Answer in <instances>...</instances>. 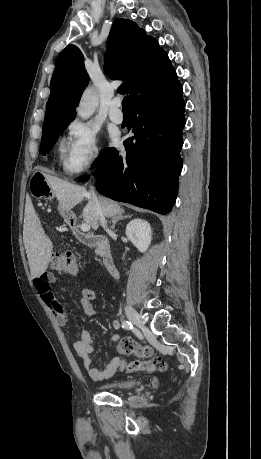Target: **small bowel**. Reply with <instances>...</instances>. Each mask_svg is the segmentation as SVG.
Returning <instances> with one entry per match:
<instances>
[{
	"label": "small bowel",
	"instance_id": "obj_1",
	"mask_svg": "<svg viewBox=\"0 0 261 459\" xmlns=\"http://www.w3.org/2000/svg\"><path fill=\"white\" fill-rule=\"evenodd\" d=\"M54 282H56V277L50 272L43 273L33 280L36 291L46 306L49 308L56 321L59 323V325L65 326L70 319V315L63 309L56 295L51 289V284ZM89 293L93 292L88 288L81 289V305L84 312L91 316L94 315L95 310L91 303L92 301H89L86 297ZM120 326L121 323L118 320L112 321V327L115 330H118ZM110 339L111 341L116 342L120 339V335L118 333H113ZM73 349L79 356L84 368L87 371L88 376L96 382H100L112 377L119 368L120 362L122 361L121 357L116 355L111 359V361L105 366L104 369L100 370L93 367L92 354L94 352V341L91 334L86 330H81L78 333L77 338L73 342Z\"/></svg>",
	"mask_w": 261,
	"mask_h": 459
}]
</instances>
